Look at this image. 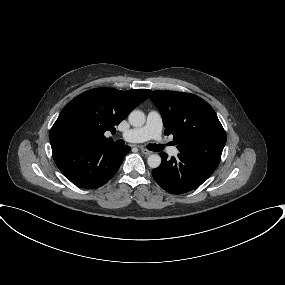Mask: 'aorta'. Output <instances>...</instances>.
<instances>
[{"mask_svg": "<svg viewBox=\"0 0 285 285\" xmlns=\"http://www.w3.org/2000/svg\"><path fill=\"white\" fill-rule=\"evenodd\" d=\"M129 123L134 127H141L145 123V114L141 110H133L129 114ZM161 157L158 154H152L148 157L147 163L150 168H158L161 165Z\"/></svg>", "mask_w": 285, "mask_h": 285, "instance_id": "1", "label": "aorta"}]
</instances>
